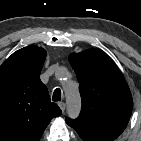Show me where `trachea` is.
I'll list each match as a JSON object with an SVG mask.
<instances>
[{
  "label": "trachea",
  "instance_id": "1",
  "mask_svg": "<svg viewBox=\"0 0 141 141\" xmlns=\"http://www.w3.org/2000/svg\"><path fill=\"white\" fill-rule=\"evenodd\" d=\"M52 100L53 101H60L61 100V90L59 88L54 90Z\"/></svg>",
  "mask_w": 141,
  "mask_h": 141
}]
</instances>
